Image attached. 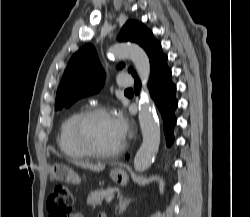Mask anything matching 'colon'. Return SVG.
<instances>
[{"label": "colon", "instance_id": "1", "mask_svg": "<svg viewBox=\"0 0 250 217\" xmlns=\"http://www.w3.org/2000/svg\"><path fill=\"white\" fill-rule=\"evenodd\" d=\"M74 204L70 188L63 183L54 186L47 199L49 217H69Z\"/></svg>", "mask_w": 250, "mask_h": 217}]
</instances>
